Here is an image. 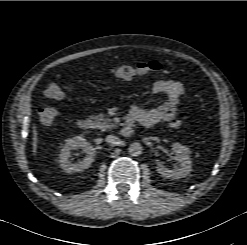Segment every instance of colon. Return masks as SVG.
<instances>
[{"label": "colon", "instance_id": "1", "mask_svg": "<svg viewBox=\"0 0 247 245\" xmlns=\"http://www.w3.org/2000/svg\"><path fill=\"white\" fill-rule=\"evenodd\" d=\"M162 66L157 61H145L136 65H121L111 70V75L117 79H132L134 77L143 76L151 72L162 71ZM45 95L54 100H60L64 97V91L57 83L48 85ZM58 116V112L52 107H43L38 111L39 121L44 125L53 124ZM170 125L173 128H180L182 121L175 119L171 121Z\"/></svg>", "mask_w": 247, "mask_h": 245}]
</instances>
